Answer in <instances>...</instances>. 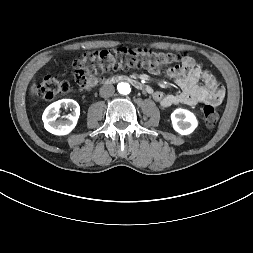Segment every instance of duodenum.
<instances>
[{
    "label": "duodenum",
    "mask_w": 253,
    "mask_h": 253,
    "mask_svg": "<svg viewBox=\"0 0 253 253\" xmlns=\"http://www.w3.org/2000/svg\"><path fill=\"white\" fill-rule=\"evenodd\" d=\"M120 81H128L139 90H142V91H145V92L151 93V94L153 93V91L151 90L150 87L143 84L142 82H140L139 80H137L136 78H134L132 76H125V75L112 76L110 78L105 79L102 85L103 86L111 85V84H114V83H117Z\"/></svg>",
    "instance_id": "duodenum-1"
}]
</instances>
